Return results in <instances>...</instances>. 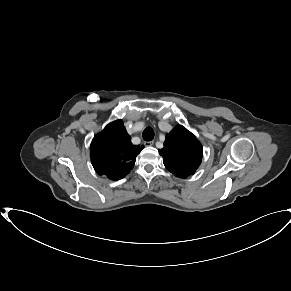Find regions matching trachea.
<instances>
[{
	"mask_svg": "<svg viewBox=\"0 0 291 291\" xmlns=\"http://www.w3.org/2000/svg\"><path fill=\"white\" fill-rule=\"evenodd\" d=\"M153 138H154V131L150 127H147L143 131V139L146 141H151Z\"/></svg>",
	"mask_w": 291,
	"mask_h": 291,
	"instance_id": "obj_1",
	"label": "trachea"
}]
</instances>
